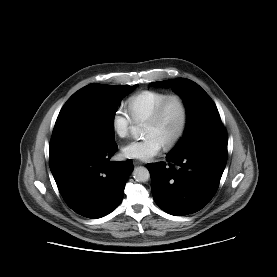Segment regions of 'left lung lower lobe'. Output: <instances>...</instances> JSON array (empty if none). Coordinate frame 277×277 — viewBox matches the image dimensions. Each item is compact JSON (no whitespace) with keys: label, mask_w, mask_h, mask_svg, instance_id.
Instances as JSON below:
<instances>
[{"label":"left lung lower lobe","mask_w":277,"mask_h":277,"mask_svg":"<svg viewBox=\"0 0 277 277\" xmlns=\"http://www.w3.org/2000/svg\"><path fill=\"white\" fill-rule=\"evenodd\" d=\"M227 133L202 134L183 152L168 154L166 163L147 164L156 204L171 215H188L207 205L215 195L227 162Z\"/></svg>","instance_id":"obj_1"}]
</instances>
